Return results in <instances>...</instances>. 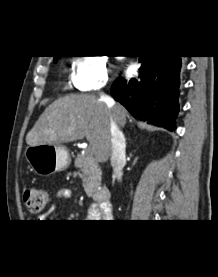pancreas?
Wrapping results in <instances>:
<instances>
[{"mask_svg":"<svg viewBox=\"0 0 218 277\" xmlns=\"http://www.w3.org/2000/svg\"><path fill=\"white\" fill-rule=\"evenodd\" d=\"M75 167L80 169L83 187L87 195L97 192L101 185V169L92 154H79L75 159Z\"/></svg>","mask_w":218,"mask_h":277,"instance_id":"cf45deb5","label":"pancreas"}]
</instances>
